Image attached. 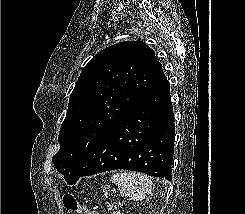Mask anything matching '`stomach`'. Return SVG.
Wrapping results in <instances>:
<instances>
[{
  "label": "stomach",
  "instance_id": "1",
  "mask_svg": "<svg viewBox=\"0 0 245 214\" xmlns=\"http://www.w3.org/2000/svg\"><path fill=\"white\" fill-rule=\"evenodd\" d=\"M109 189V185H104L103 190Z\"/></svg>",
  "mask_w": 245,
  "mask_h": 214
}]
</instances>
